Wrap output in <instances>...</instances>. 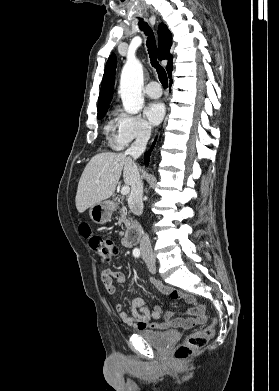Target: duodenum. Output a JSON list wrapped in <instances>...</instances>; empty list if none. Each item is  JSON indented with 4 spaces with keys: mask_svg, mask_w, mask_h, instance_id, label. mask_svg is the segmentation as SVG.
<instances>
[{
    "mask_svg": "<svg viewBox=\"0 0 279 391\" xmlns=\"http://www.w3.org/2000/svg\"><path fill=\"white\" fill-rule=\"evenodd\" d=\"M141 226L139 223L135 222L132 223L127 230V233L125 235L126 242L129 246H134L137 243H139L141 238Z\"/></svg>",
    "mask_w": 279,
    "mask_h": 391,
    "instance_id": "obj_1",
    "label": "duodenum"
}]
</instances>
